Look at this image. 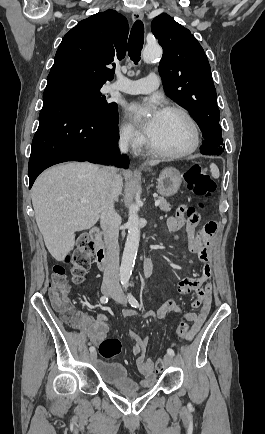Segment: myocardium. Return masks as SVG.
Segmentation results:
<instances>
[{"instance_id":"obj_1","label":"myocardium","mask_w":265,"mask_h":434,"mask_svg":"<svg viewBox=\"0 0 265 434\" xmlns=\"http://www.w3.org/2000/svg\"><path fill=\"white\" fill-rule=\"evenodd\" d=\"M168 112H177L181 114L189 122L192 130L191 143L189 144L188 147L178 152H167V151L160 150L157 147H155L150 142V140H148V147L151 153L157 157H161L169 160L182 159L194 153L199 147L200 140H201L200 128L195 118L184 107L178 104L168 105L162 110V113H168Z\"/></svg>"}]
</instances>
